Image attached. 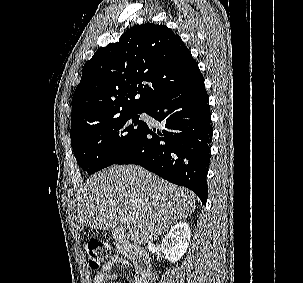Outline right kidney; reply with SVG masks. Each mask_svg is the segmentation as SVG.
<instances>
[{
	"instance_id": "obj_1",
	"label": "right kidney",
	"mask_w": 303,
	"mask_h": 283,
	"mask_svg": "<svg viewBox=\"0 0 303 283\" xmlns=\"http://www.w3.org/2000/svg\"><path fill=\"white\" fill-rule=\"evenodd\" d=\"M191 229L188 223L179 222L173 226L162 241L161 248L166 258L175 263L188 249Z\"/></svg>"
}]
</instances>
